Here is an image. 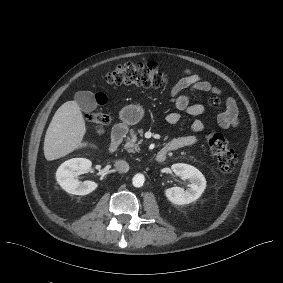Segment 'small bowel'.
Segmentation results:
<instances>
[{
	"label": "small bowel",
	"instance_id": "obj_1",
	"mask_svg": "<svg viewBox=\"0 0 283 283\" xmlns=\"http://www.w3.org/2000/svg\"><path fill=\"white\" fill-rule=\"evenodd\" d=\"M187 91V93H185ZM194 92H211L220 95L221 90L205 80L200 74L194 73L190 69L184 71L181 77L170 90V100L175 111H171L166 116L169 124H177L182 114L190 116H202L205 108L201 104H190V93ZM238 107L234 99L227 98L225 101V110L218 116L217 123L222 129H229L238 125ZM205 128L204 122L200 119L194 120L190 127L189 133L172 139L166 147L169 150H176L183 147L193 146L197 144L198 139L195 133L202 132Z\"/></svg>",
	"mask_w": 283,
	"mask_h": 283
}]
</instances>
